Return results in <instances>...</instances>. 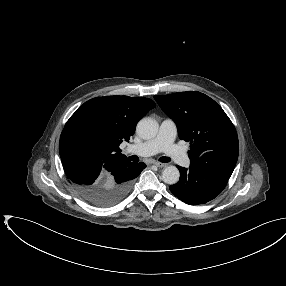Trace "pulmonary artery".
<instances>
[{"label": "pulmonary artery", "mask_w": 286, "mask_h": 286, "mask_svg": "<svg viewBox=\"0 0 286 286\" xmlns=\"http://www.w3.org/2000/svg\"><path fill=\"white\" fill-rule=\"evenodd\" d=\"M176 135V123L171 119H165L161 122L159 131L154 138L130 146L129 151L141 157L163 152L178 165L186 167L190 164L189 157L174 143Z\"/></svg>", "instance_id": "e3ab8cb5"}]
</instances>
